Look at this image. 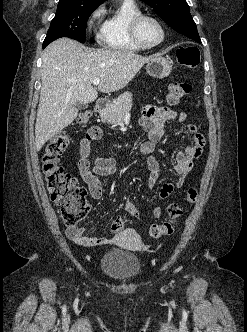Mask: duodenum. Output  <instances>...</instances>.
<instances>
[{
	"label": "duodenum",
	"instance_id": "duodenum-1",
	"mask_svg": "<svg viewBox=\"0 0 247 332\" xmlns=\"http://www.w3.org/2000/svg\"><path fill=\"white\" fill-rule=\"evenodd\" d=\"M108 107V102L106 100H99L95 105V112L98 114H103Z\"/></svg>",
	"mask_w": 247,
	"mask_h": 332
}]
</instances>
